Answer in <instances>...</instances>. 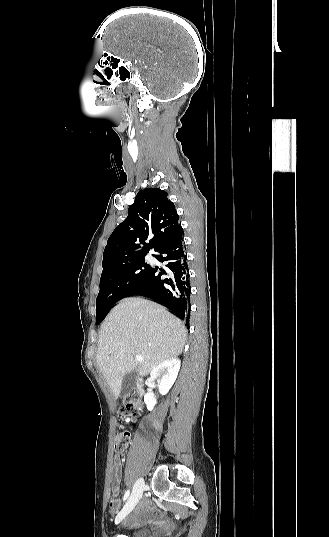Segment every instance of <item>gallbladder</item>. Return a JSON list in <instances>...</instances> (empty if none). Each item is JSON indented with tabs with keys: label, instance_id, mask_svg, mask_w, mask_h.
Wrapping results in <instances>:
<instances>
[{
	"label": "gallbladder",
	"instance_id": "1",
	"mask_svg": "<svg viewBox=\"0 0 329 537\" xmlns=\"http://www.w3.org/2000/svg\"><path fill=\"white\" fill-rule=\"evenodd\" d=\"M137 376L135 369L124 375L121 387L122 395L130 393L135 388Z\"/></svg>",
	"mask_w": 329,
	"mask_h": 537
}]
</instances>
